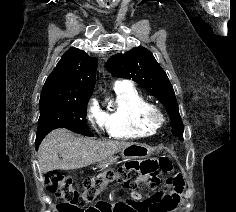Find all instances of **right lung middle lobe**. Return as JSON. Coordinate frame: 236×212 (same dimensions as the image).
Returning a JSON list of instances; mask_svg holds the SVG:
<instances>
[{
    "instance_id": "obj_1",
    "label": "right lung middle lobe",
    "mask_w": 236,
    "mask_h": 212,
    "mask_svg": "<svg viewBox=\"0 0 236 212\" xmlns=\"http://www.w3.org/2000/svg\"><path fill=\"white\" fill-rule=\"evenodd\" d=\"M90 97L40 99V117L35 141L36 149L50 131L59 127L92 137L93 134L88 129L86 122L87 104Z\"/></svg>"
}]
</instances>
